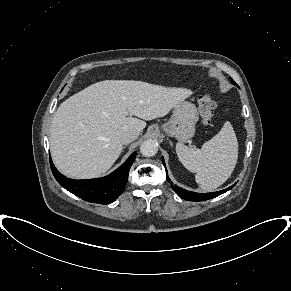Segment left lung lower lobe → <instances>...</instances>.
I'll use <instances>...</instances> for the list:
<instances>
[{
	"label": "left lung lower lobe",
	"mask_w": 291,
	"mask_h": 291,
	"mask_svg": "<svg viewBox=\"0 0 291 291\" xmlns=\"http://www.w3.org/2000/svg\"><path fill=\"white\" fill-rule=\"evenodd\" d=\"M162 162H163V165L165 166L164 159H162ZM166 178H167V181L170 182V178L168 177L167 170H166ZM171 187L182 199H185L187 201H205V200L212 199L214 197H217V196L227 192L228 190L233 188L234 185L230 186L227 189H223L221 191L211 192V193L190 192V191H187V190L180 188L176 185H173Z\"/></svg>",
	"instance_id": "0a47b994"
}]
</instances>
